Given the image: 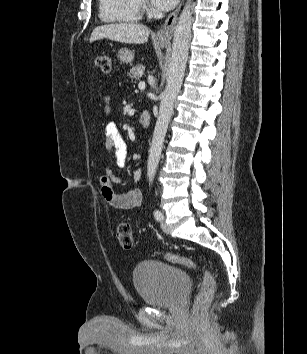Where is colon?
Here are the masks:
<instances>
[{"instance_id":"1","label":"colon","mask_w":307,"mask_h":354,"mask_svg":"<svg viewBox=\"0 0 307 354\" xmlns=\"http://www.w3.org/2000/svg\"><path fill=\"white\" fill-rule=\"evenodd\" d=\"M111 62V56L108 54H102L96 58L97 67L104 73H108L110 71ZM117 239L123 248L131 249L133 247V234L129 223L122 221L118 224ZM164 258L167 261L188 267L200 273L201 284L194 303V318L195 320H198L201 312L211 301L214 295L215 280L213 275L204 266L188 257L167 253L164 255Z\"/></svg>"}]
</instances>
